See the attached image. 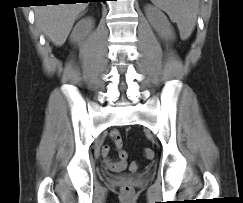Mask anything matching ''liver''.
<instances>
[{
    "label": "liver",
    "instance_id": "6515ba94",
    "mask_svg": "<svg viewBox=\"0 0 243 203\" xmlns=\"http://www.w3.org/2000/svg\"><path fill=\"white\" fill-rule=\"evenodd\" d=\"M86 3L37 6L36 24L56 46H62Z\"/></svg>",
    "mask_w": 243,
    "mask_h": 203
}]
</instances>
